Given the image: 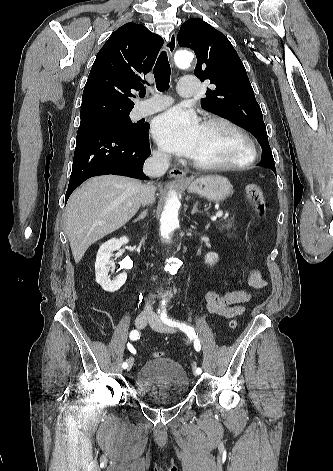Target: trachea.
Instances as JSON below:
<instances>
[{
    "instance_id": "obj_1",
    "label": "trachea",
    "mask_w": 333,
    "mask_h": 471,
    "mask_svg": "<svg viewBox=\"0 0 333 471\" xmlns=\"http://www.w3.org/2000/svg\"><path fill=\"white\" fill-rule=\"evenodd\" d=\"M153 72L158 91L162 92L167 90L170 83L171 69L166 52L160 54ZM139 95L140 97H144L145 91L140 92Z\"/></svg>"
}]
</instances>
